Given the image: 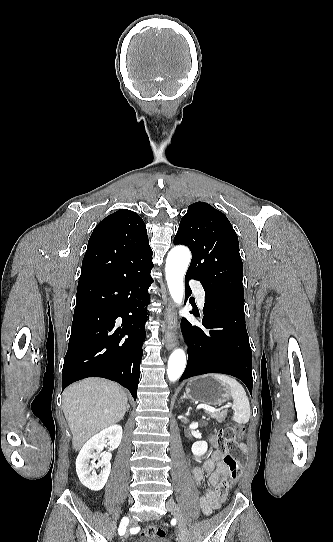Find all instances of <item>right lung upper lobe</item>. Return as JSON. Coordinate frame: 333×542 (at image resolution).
I'll list each match as a JSON object with an SVG mask.
<instances>
[{
	"label": "right lung upper lobe",
	"mask_w": 333,
	"mask_h": 542,
	"mask_svg": "<svg viewBox=\"0 0 333 542\" xmlns=\"http://www.w3.org/2000/svg\"><path fill=\"white\" fill-rule=\"evenodd\" d=\"M126 247L150 248L146 226L141 217L131 210L120 209L96 226L88 241L87 250L115 252ZM101 275L81 270L79 279Z\"/></svg>",
	"instance_id": "1"
}]
</instances>
